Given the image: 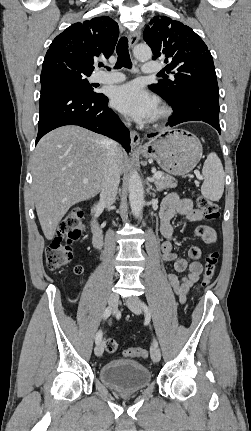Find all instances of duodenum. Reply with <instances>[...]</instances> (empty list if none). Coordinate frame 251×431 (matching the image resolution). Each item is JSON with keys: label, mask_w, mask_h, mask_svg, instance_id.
Here are the masks:
<instances>
[{"label": "duodenum", "mask_w": 251, "mask_h": 431, "mask_svg": "<svg viewBox=\"0 0 251 431\" xmlns=\"http://www.w3.org/2000/svg\"><path fill=\"white\" fill-rule=\"evenodd\" d=\"M98 205H94L92 209L91 228L93 233V242L96 247H101L103 243V231L100 222L97 218Z\"/></svg>", "instance_id": "duodenum-1"}]
</instances>
